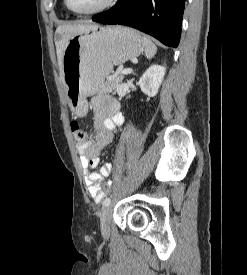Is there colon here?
<instances>
[{"label":"colon","mask_w":247,"mask_h":275,"mask_svg":"<svg viewBox=\"0 0 247 275\" xmlns=\"http://www.w3.org/2000/svg\"><path fill=\"white\" fill-rule=\"evenodd\" d=\"M71 129H72V134L75 139V141L79 144L82 143L85 139V132L81 129L79 123L77 121H73L71 123ZM112 191V183L107 182L103 185V192L105 194H108Z\"/></svg>","instance_id":"colon-1"}]
</instances>
